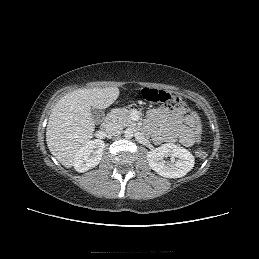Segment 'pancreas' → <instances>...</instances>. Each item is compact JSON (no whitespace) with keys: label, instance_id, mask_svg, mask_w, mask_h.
Instances as JSON below:
<instances>
[{"label":"pancreas","instance_id":"pancreas-1","mask_svg":"<svg viewBox=\"0 0 259 259\" xmlns=\"http://www.w3.org/2000/svg\"><path fill=\"white\" fill-rule=\"evenodd\" d=\"M130 113L131 112L125 108H116L111 111L110 119L123 127L135 126V122L130 118Z\"/></svg>","mask_w":259,"mask_h":259}]
</instances>
